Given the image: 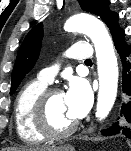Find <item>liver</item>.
<instances>
[{"instance_id":"1","label":"liver","mask_w":131,"mask_h":151,"mask_svg":"<svg viewBox=\"0 0 131 151\" xmlns=\"http://www.w3.org/2000/svg\"><path fill=\"white\" fill-rule=\"evenodd\" d=\"M58 148H37L31 149L30 151H56Z\"/></svg>"}]
</instances>
